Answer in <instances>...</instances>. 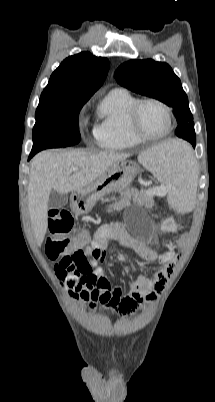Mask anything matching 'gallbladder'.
I'll use <instances>...</instances> for the list:
<instances>
[{
  "instance_id": "obj_1",
  "label": "gallbladder",
  "mask_w": 215,
  "mask_h": 402,
  "mask_svg": "<svg viewBox=\"0 0 215 402\" xmlns=\"http://www.w3.org/2000/svg\"><path fill=\"white\" fill-rule=\"evenodd\" d=\"M68 203L67 194H62L56 190H52L48 199V208H61Z\"/></svg>"
}]
</instances>
